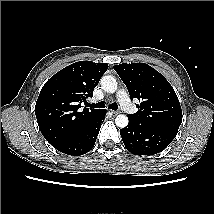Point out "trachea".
I'll return each mask as SVG.
<instances>
[{"mask_svg": "<svg viewBox=\"0 0 214 214\" xmlns=\"http://www.w3.org/2000/svg\"><path fill=\"white\" fill-rule=\"evenodd\" d=\"M89 107H91V108H104L105 103L104 102H98L96 104H89ZM109 108L112 110H117L118 105L116 103H112V104H110Z\"/></svg>", "mask_w": 214, "mask_h": 214, "instance_id": "trachea-1", "label": "trachea"}]
</instances>
